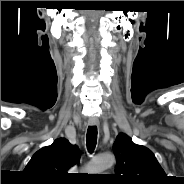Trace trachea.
<instances>
[{"label": "trachea", "mask_w": 184, "mask_h": 184, "mask_svg": "<svg viewBox=\"0 0 184 184\" xmlns=\"http://www.w3.org/2000/svg\"><path fill=\"white\" fill-rule=\"evenodd\" d=\"M96 142H97V127L89 126L86 134V145L90 153L94 151Z\"/></svg>", "instance_id": "obj_1"}]
</instances>
